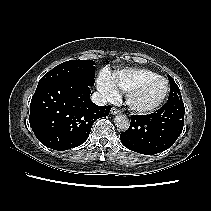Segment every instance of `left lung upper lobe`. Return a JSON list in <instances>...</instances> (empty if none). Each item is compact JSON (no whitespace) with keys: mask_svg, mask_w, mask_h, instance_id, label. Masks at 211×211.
<instances>
[{"mask_svg":"<svg viewBox=\"0 0 211 211\" xmlns=\"http://www.w3.org/2000/svg\"><path fill=\"white\" fill-rule=\"evenodd\" d=\"M168 79H169V83H170V94H169L168 101L182 99L179 87L177 86L175 81L169 75H168Z\"/></svg>","mask_w":211,"mask_h":211,"instance_id":"left-lung-upper-lobe-1","label":"left lung upper lobe"}]
</instances>
